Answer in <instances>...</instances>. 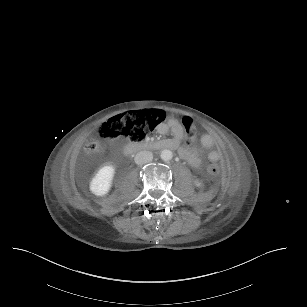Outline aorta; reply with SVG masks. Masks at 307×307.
I'll return each mask as SVG.
<instances>
[{"mask_svg": "<svg viewBox=\"0 0 307 307\" xmlns=\"http://www.w3.org/2000/svg\"><path fill=\"white\" fill-rule=\"evenodd\" d=\"M160 157L163 161H170L173 158V153L169 149H164L161 151Z\"/></svg>", "mask_w": 307, "mask_h": 307, "instance_id": "obj_1", "label": "aorta"}]
</instances>
